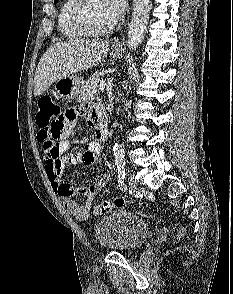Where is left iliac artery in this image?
<instances>
[{
  "label": "left iliac artery",
  "instance_id": "44dca946",
  "mask_svg": "<svg viewBox=\"0 0 233 294\" xmlns=\"http://www.w3.org/2000/svg\"><path fill=\"white\" fill-rule=\"evenodd\" d=\"M117 171H118V184L121 190H126L127 187L124 183V179L126 176V171H125V163H119L117 164Z\"/></svg>",
  "mask_w": 233,
  "mask_h": 294
}]
</instances>
